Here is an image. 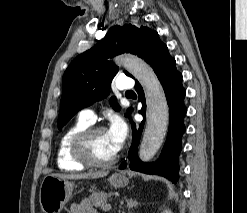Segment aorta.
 <instances>
[{
	"label": "aorta",
	"mask_w": 247,
	"mask_h": 213,
	"mask_svg": "<svg viewBox=\"0 0 247 213\" xmlns=\"http://www.w3.org/2000/svg\"><path fill=\"white\" fill-rule=\"evenodd\" d=\"M116 63L123 65L144 89L147 120L139 157L142 161H149L163 144L168 129L169 108L165 93L153 69L140 58L125 54L117 57Z\"/></svg>",
	"instance_id": "1"
}]
</instances>
